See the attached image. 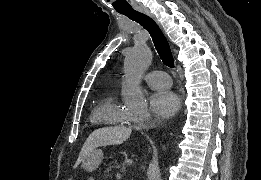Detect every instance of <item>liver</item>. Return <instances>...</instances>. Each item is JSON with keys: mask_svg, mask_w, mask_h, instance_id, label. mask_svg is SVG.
Segmentation results:
<instances>
[{"mask_svg": "<svg viewBox=\"0 0 261 180\" xmlns=\"http://www.w3.org/2000/svg\"><path fill=\"white\" fill-rule=\"evenodd\" d=\"M131 132V128H124V126H109V128H99V130H94V132L88 136L84 146H82L79 158L73 168H78L82 160L88 158L94 148H99V146H118V144H123V142H126V140L130 138Z\"/></svg>", "mask_w": 261, "mask_h": 180, "instance_id": "liver-1", "label": "liver"}]
</instances>
